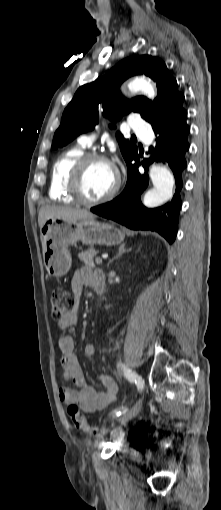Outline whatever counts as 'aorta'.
Instances as JSON below:
<instances>
[{
    "label": "aorta",
    "instance_id": "1",
    "mask_svg": "<svg viewBox=\"0 0 221 510\" xmlns=\"http://www.w3.org/2000/svg\"><path fill=\"white\" fill-rule=\"evenodd\" d=\"M128 89L132 92L141 91L148 98L155 97L153 85L145 78H135L128 83ZM150 178L153 188L146 192L143 204L146 207H158L172 197L174 187V177L171 172L164 166L152 165L150 168Z\"/></svg>",
    "mask_w": 221,
    "mask_h": 510
}]
</instances>
